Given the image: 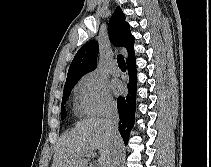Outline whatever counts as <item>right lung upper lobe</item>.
I'll return each mask as SVG.
<instances>
[{
	"instance_id": "1",
	"label": "right lung upper lobe",
	"mask_w": 211,
	"mask_h": 167,
	"mask_svg": "<svg viewBox=\"0 0 211 167\" xmlns=\"http://www.w3.org/2000/svg\"><path fill=\"white\" fill-rule=\"evenodd\" d=\"M108 31L114 45L124 46L127 49V62L134 59V37L131 35L130 26L125 22V14L120 7H117L112 15L109 21ZM98 51V43L95 40L89 41L82 46L69 67L66 82L76 79L79 80L84 74L95 70Z\"/></svg>"
}]
</instances>
